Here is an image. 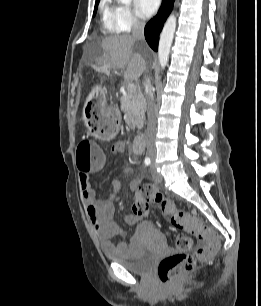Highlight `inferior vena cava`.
Returning <instances> with one entry per match:
<instances>
[{
	"label": "inferior vena cava",
	"instance_id": "602c4592",
	"mask_svg": "<svg viewBox=\"0 0 261 306\" xmlns=\"http://www.w3.org/2000/svg\"><path fill=\"white\" fill-rule=\"evenodd\" d=\"M144 26L145 23L137 19L132 28V37L136 40L144 39ZM145 86L148 89L146 94L147 100V131H146V145L147 154L151 157L155 156L156 149L154 144V136L157 125V106L155 103L154 95L151 90V81L149 78L145 81Z\"/></svg>",
	"mask_w": 261,
	"mask_h": 306
}]
</instances>
